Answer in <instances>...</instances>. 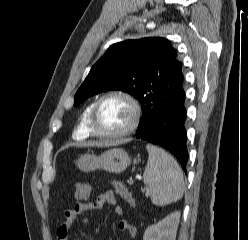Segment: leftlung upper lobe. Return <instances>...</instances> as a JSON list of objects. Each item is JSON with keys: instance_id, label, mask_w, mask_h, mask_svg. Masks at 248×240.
I'll return each mask as SVG.
<instances>
[{"instance_id": "left-lung-upper-lobe-1", "label": "left lung upper lobe", "mask_w": 248, "mask_h": 240, "mask_svg": "<svg viewBox=\"0 0 248 240\" xmlns=\"http://www.w3.org/2000/svg\"><path fill=\"white\" fill-rule=\"evenodd\" d=\"M183 83L182 63L169 40H127L110 46L92 66L75 94L74 106L99 92L125 91L141 104L139 132L164 105L185 93Z\"/></svg>"}]
</instances>
